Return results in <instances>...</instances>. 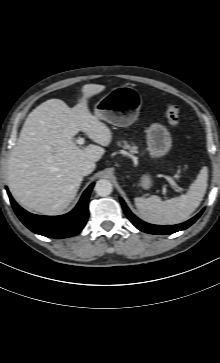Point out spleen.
Returning a JSON list of instances; mask_svg holds the SVG:
<instances>
[{
    "mask_svg": "<svg viewBox=\"0 0 220 363\" xmlns=\"http://www.w3.org/2000/svg\"><path fill=\"white\" fill-rule=\"evenodd\" d=\"M207 169L203 168L187 194L162 201L157 196L134 199L140 216L148 223L174 225L186 221L199 207L207 190Z\"/></svg>",
    "mask_w": 220,
    "mask_h": 363,
    "instance_id": "spleen-1",
    "label": "spleen"
}]
</instances>
